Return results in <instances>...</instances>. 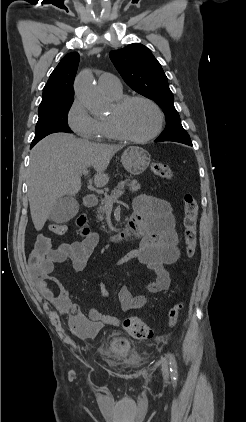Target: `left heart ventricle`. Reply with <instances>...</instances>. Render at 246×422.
Listing matches in <instances>:
<instances>
[{
	"instance_id": "b2bd125f",
	"label": "left heart ventricle",
	"mask_w": 246,
	"mask_h": 422,
	"mask_svg": "<svg viewBox=\"0 0 246 422\" xmlns=\"http://www.w3.org/2000/svg\"><path fill=\"white\" fill-rule=\"evenodd\" d=\"M113 117H118L124 128L136 137L153 132L158 122L156 111L143 101H134L120 112L114 106L110 115Z\"/></svg>"
}]
</instances>
